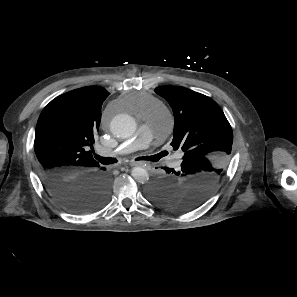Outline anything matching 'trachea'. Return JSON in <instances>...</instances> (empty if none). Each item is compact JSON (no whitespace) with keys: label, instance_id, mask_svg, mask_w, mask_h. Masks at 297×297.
<instances>
[{"label":"trachea","instance_id":"1","mask_svg":"<svg viewBox=\"0 0 297 297\" xmlns=\"http://www.w3.org/2000/svg\"><path fill=\"white\" fill-rule=\"evenodd\" d=\"M94 157L102 164L104 165H109V164H113L116 163L117 160L116 158H106V157H101L99 155H94ZM135 160H147V161H157L158 159L155 158L154 156H145V157H138Z\"/></svg>","mask_w":297,"mask_h":297}]
</instances>
